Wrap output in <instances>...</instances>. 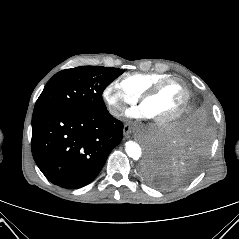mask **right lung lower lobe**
Here are the masks:
<instances>
[{
    "label": "right lung lower lobe",
    "mask_w": 239,
    "mask_h": 239,
    "mask_svg": "<svg viewBox=\"0 0 239 239\" xmlns=\"http://www.w3.org/2000/svg\"><path fill=\"white\" fill-rule=\"evenodd\" d=\"M122 136V122L106 109L51 108L32 116L33 158L50 182L67 189L92 182Z\"/></svg>",
    "instance_id": "right-lung-lower-lobe-1"
}]
</instances>
